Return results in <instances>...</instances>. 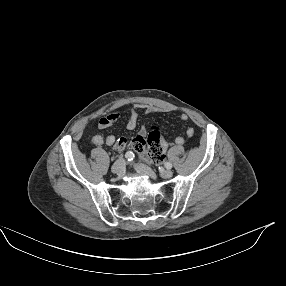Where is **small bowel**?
Instances as JSON below:
<instances>
[{"mask_svg":"<svg viewBox=\"0 0 286 286\" xmlns=\"http://www.w3.org/2000/svg\"><path fill=\"white\" fill-rule=\"evenodd\" d=\"M141 109L145 110L148 113H162V112L168 111L167 108H164V107H161L158 105H145V104L134 105L130 108V115H129V118H128L127 123H126V127L128 130H134L137 127L139 110H141ZM119 116H120L119 113L114 112V113L108 114V115L100 118L98 121V128L99 129H107V128L111 127L119 119ZM179 119L184 122V121H187L189 119V116L186 113H182L179 116ZM146 134H147L146 127H144V126L141 127V129L139 131V135L145 136ZM185 134L189 138L192 137L194 135V129L191 127H188L186 129ZM91 141L94 145H97V146H100L103 144H105L107 146H112V145H115L117 139L113 135L104 136L102 134H96L92 137ZM184 143H185V137L184 136L176 137L175 144L177 146H182ZM163 145L166 149L168 143L165 139L163 141ZM124 148H118V150H122Z\"/></svg>","mask_w":286,"mask_h":286,"instance_id":"c3829d8e","label":"small bowel"}]
</instances>
